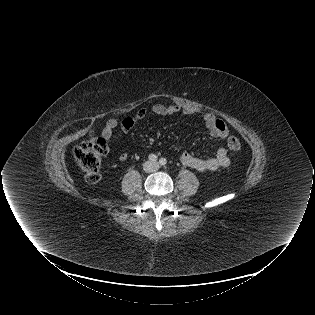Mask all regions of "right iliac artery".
<instances>
[{
  "mask_svg": "<svg viewBox=\"0 0 315 315\" xmlns=\"http://www.w3.org/2000/svg\"><path fill=\"white\" fill-rule=\"evenodd\" d=\"M148 159H149L150 161H152V162H155V161H157V156H156L155 154H150V155L148 156Z\"/></svg>",
  "mask_w": 315,
  "mask_h": 315,
  "instance_id": "obj_1",
  "label": "right iliac artery"
}]
</instances>
